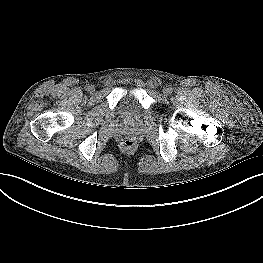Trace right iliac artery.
<instances>
[{
	"instance_id": "1",
	"label": "right iliac artery",
	"mask_w": 263,
	"mask_h": 263,
	"mask_svg": "<svg viewBox=\"0 0 263 263\" xmlns=\"http://www.w3.org/2000/svg\"><path fill=\"white\" fill-rule=\"evenodd\" d=\"M89 87H90L89 84L86 85V86H85L86 90H89Z\"/></svg>"
}]
</instances>
